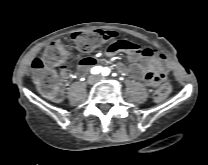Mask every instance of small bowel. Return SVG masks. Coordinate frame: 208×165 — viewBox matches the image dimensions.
<instances>
[{
    "label": "small bowel",
    "instance_id": "small-bowel-1",
    "mask_svg": "<svg viewBox=\"0 0 208 165\" xmlns=\"http://www.w3.org/2000/svg\"><path fill=\"white\" fill-rule=\"evenodd\" d=\"M102 32L104 41H112L106 49V55L111 58L118 53H124L133 63L130 67L123 63H117L115 67L119 73H130L142 79L151 87L157 86L164 80L170 68V62L162 53L150 48H141L137 43L130 40L117 39V32L113 30H104ZM79 62L81 67L88 68L96 66L98 59L91 57L80 58ZM60 74L63 78H67L70 75V70L68 68L61 69Z\"/></svg>",
    "mask_w": 208,
    "mask_h": 165
}]
</instances>
